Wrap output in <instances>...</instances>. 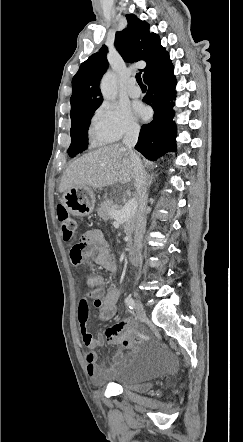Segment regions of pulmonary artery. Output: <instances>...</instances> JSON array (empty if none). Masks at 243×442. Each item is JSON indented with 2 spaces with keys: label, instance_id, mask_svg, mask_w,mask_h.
<instances>
[{
  "label": "pulmonary artery",
  "instance_id": "e3ab8cb5",
  "mask_svg": "<svg viewBox=\"0 0 243 442\" xmlns=\"http://www.w3.org/2000/svg\"><path fill=\"white\" fill-rule=\"evenodd\" d=\"M128 94L132 98H138L141 96V89L136 85L135 78L129 80L128 83Z\"/></svg>",
  "mask_w": 243,
  "mask_h": 442
}]
</instances>
